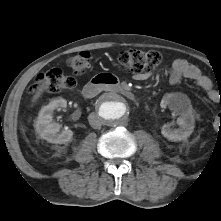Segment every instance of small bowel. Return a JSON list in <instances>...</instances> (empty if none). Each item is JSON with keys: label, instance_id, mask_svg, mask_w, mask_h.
Listing matches in <instances>:
<instances>
[{"label": "small bowel", "instance_id": "c3829d8e", "mask_svg": "<svg viewBox=\"0 0 221 221\" xmlns=\"http://www.w3.org/2000/svg\"><path fill=\"white\" fill-rule=\"evenodd\" d=\"M148 77L149 74L147 73L136 74L134 76V78L139 81L146 80ZM184 78L194 81L206 92L208 98L212 102H218L220 100L219 94L212 88L210 79L203 75L196 65L185 59H175L170 69L169 81L171 84L175 85L180 83Z\"/></svg>", "mask_w": 221, "mask_h": 221}]
</instances>
